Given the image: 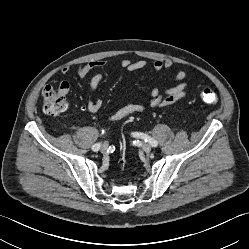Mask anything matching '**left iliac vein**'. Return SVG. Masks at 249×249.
<instances>
[{"mask_svg": "<svg viewBox=\"0 0 249 249\" xmlns=\"http://www.w3.org/2000/svg\"><path fill=\"white\" fill-rule=\"evenodd\" d=\"M142 149H143L144 152L149 153L151 151L152 147H151V145L149 143H144L142 145Z\"/></svg>", "mask_w": 249, "mask_h": 249, "instance_id": "4c4485c4", "label": "left iliac vein"}]
</instances>
